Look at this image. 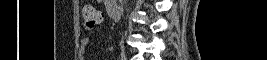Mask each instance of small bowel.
<instances>
[{"label":"small bowel","mask_w":267,"mask_h":60,"mask_svg":"<svg viewBox=\"0 0 267 60\" xmlns=\"http://www.w3.org/2000/svg\"><path fill=\"white\" fill-rule=\"evenodd\" d=\"M82 44L84 45V46H86L87 44H88V42H89V40L87 39V38H84V39H82Z\"/></svg>","instance_id":"c3829d8e"}]
</instances>
